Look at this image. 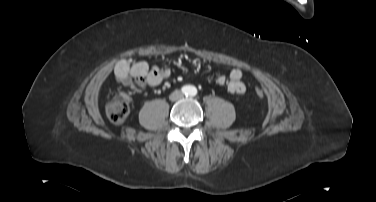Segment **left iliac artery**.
Wrapping results in <instances>:
<instances>
[{
  "label": "left iliac artery",
  "mask_w": 376,
  "mask_h": 202,
  "mask_svg": "<svg viewBox=\"0 0 376 202\" xmlns=\"http://www.w3.org/2000/svg\"><path fill=\"white\" fill-rule=\"evenodd\" d=\"M195 93H196V91L193 89L191 94L194 95Z\"/></svg>",
  "instance_id": "left-iliac-artery-1"
}]
</instances>
